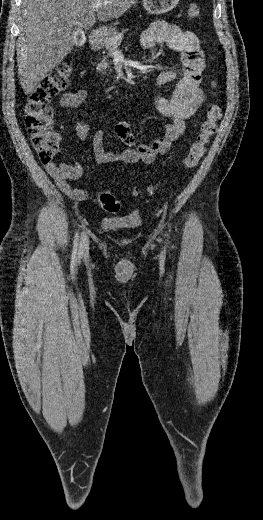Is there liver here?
Wrapping results in <instances>:
<instances>
[{"mask_svg": "<svg viewBox=\"0 0 263 520\" xmlns=\"http://www.w3.org/2000/svg\"><path fill=\"white\" fill-rule=\"evenodd\" d=\"M138 0H23L17 42L18 77L25 94L71 52L73 26L89 29L96 22L118 19ZM102 3L94 9L95 3Z\"/></svg>", "mask_w": 263, "mask_h": 520, "instance_id": "1", "label": "liver"}]
</instances>
